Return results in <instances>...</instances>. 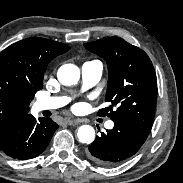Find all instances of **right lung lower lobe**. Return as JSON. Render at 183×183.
Listing matches in <instances>:
<instances>
[{"instance_id": "right-lung-lower-lobe-1", "label": "right lung lower lobe", "mask_w": 183, "mask_h": 183, "mask_svg": "<svg viewBox=\"0 0 183 183\" xmlns=\"http://www.w3.org/2000/svg\"><path fill=\"white\" fill-rule=\"evenodd\" d=\"M58 128L50 118L37 121L31 114L22 115L0 136V150L13 159L34 158L46 149Z\"/></svg>"}]
</instances>
